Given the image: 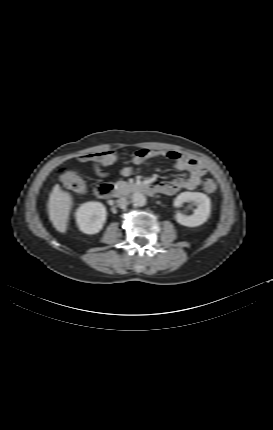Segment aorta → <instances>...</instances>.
I'll return each mask as SVG.
<instances>
[{"label":"aorta","mask_w":273,"mask_h":430,"mask_svg":"<svg viewBox=\"0 0 273 430\" xmlns=\"http://www.w3.org/2000/svg\"><path fill=\"white\" fill-rule=\"evenodd\" d=\"M131 199H132L133 204L135 206H139V207L144 206L146 204V200H147L146 197L142 193H139V192L134 193L131 196Z\"/></svg>","instance_id":"1"}]
</instances>
